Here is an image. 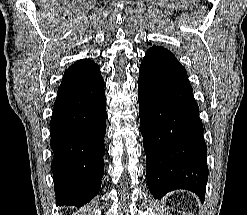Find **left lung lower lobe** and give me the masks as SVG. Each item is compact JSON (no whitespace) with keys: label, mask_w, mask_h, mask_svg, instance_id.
I'll return each mask as SVG.
<instances>
[{"label":"left lung lower lobe","mask_w":247,"mask_h":215,"mask_svg":"<svg viewBox=\"0 0 247 215\" xmlns=\"http://www.w3.org/2000/svg\"><path fill=\"white\" fill-rule=\"evenodd\" d=\"M140 129L146 176L154 198L176 189L205 199L207 146L185 68L169 50L153 46L140 65Z\"/></svg>","instance_id":"obj_1"}]
</instances>
